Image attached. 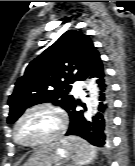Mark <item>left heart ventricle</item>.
I'll use <instances>...</instances> for the list:
<instances>
[{
	"label": "left heart ventricle",
	"mask_w": 135,
	"mask_h": 166,
	"mask_svg": "<svg viewBox=\"0 0 135 166\" xmlns=\"http://www.w3.org/2000/svg\"><path fill=\"white\" fill-rule=\"evenodd\" d=\"M58 121L54 113L46 110L29 114L18 126L17 137L21 142L32 143L53 134Z\"/></svg>",
	"instance_id": "1"
}]
</instances>
